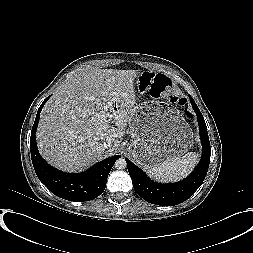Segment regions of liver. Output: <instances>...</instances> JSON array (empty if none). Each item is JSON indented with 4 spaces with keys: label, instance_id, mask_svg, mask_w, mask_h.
<instances>
[{
    "label": "liver",
    "instance_id": "obj_1",
    "mask_svg": "<svg viewBox=\"0 0 253 253\" xmlns=\"http://www.w3.org/2000/svg\"><path fill=\"white\" fill-rule=\"evenodd\" d=\"M137 77V70L93 68L67 79L41 113L42 157L60 170L81 172L115 153L135 111ZM107 140L112 144L105 149Z\"/></svg>",
    "mask_w": 253,
    "mask_h": 253
}]
</instances>
